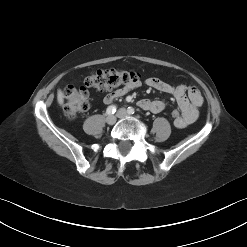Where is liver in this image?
<instances>
[{"label": "liver", "mask_w": 247, "mask_h": 247, "mask_svg": "<svg viewBox=\"0 0 247 247\" xmlns=\"http://www.w3.org/2000/svg\"><path fill=\"white\" fill-rule=\"evenodd\" d=\"M57 101L60 105H63V93L62 91L59 89L58 93H57Z\"/></svg>", "instance_id": "liver-1"}]
</instances>
